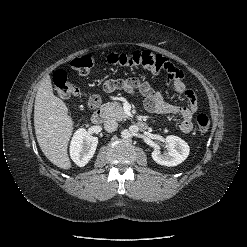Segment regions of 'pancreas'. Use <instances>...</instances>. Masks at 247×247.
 I'll return each mask as SVG.
<instances>
[{"instance_id": "pancreas-1", "label": "pancreas", "mask_w": 247, "mask_h": 247, "mask_svg": "<svg viewBox=\"0 0 247 247\" xmlns=\"http://www.w3.org/2000/svg\"><path fill=\"white\" fill-rule=\"evenodd\" d=\"M105 116L117 121L125 120L128 116L123 110V107L118 102H109L101 107Z\"/></svg>"}]
</instances>
